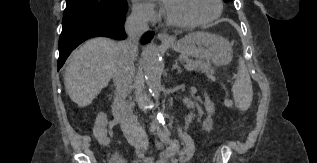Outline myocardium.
Masks as SVG:
<instances>
[{"label":"myocardium","instance_id":"myocardium-1","mask_svg":"<svg viewBox=\"0 0 317 163\" xmlns=\"http://www.w3.org/2000/svg\"><path fill=\"white\" fill-rule=\"evenodd\" d=\"M215 3H216L215 13L211 17L202 19V20H196L191 22L177 20L170 14V12L165 7V5H163V14H164L166 22L170 24L171 26L178 27V28H194V27L210 24L216 21L221 16L223 11L222 0H215Z\"/></svg>","mask_w":317,"mask_h":163}]
</instances>
